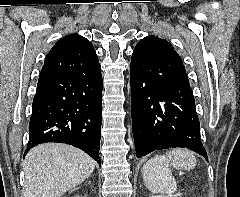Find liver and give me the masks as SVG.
Instances as JSON below:
<instances>
[{"mask_svg": "<svg viewBox=\"0 0 240 197\" xmlns=\"http://www.w3.org/2000/svg\"><path fill=\"white\" fill-rule=\"evenodd\" d=\"M96 162L82 150L63 143H44L25 157L22 197H60L84 182Z\"/></svg>", "mask_w": 240, "mask_h": 197, "instance_id": "6515ba94", "label": "liver"}]
</instances>
